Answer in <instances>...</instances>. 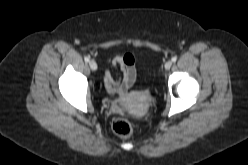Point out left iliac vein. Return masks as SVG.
Wrapping results in <instances>:
<instances>
[{
	"label": "left iliac vein",
	"instance_id": "obj_1",
	"mask_svg": "<svg viewBox=\"0 0 248 165\" xmlns=\"http://www.w3.org/2000/svg\"><path fill=\"white\" fill-rule=\"evenodd\" d=\"M171 66H172V62L171 61H167L165 63V65H164V67H165L166 70H169L171 68Z\"/></svg>",
	"mask_w": 248,
	"mask_h": 165
}]
</instances>
